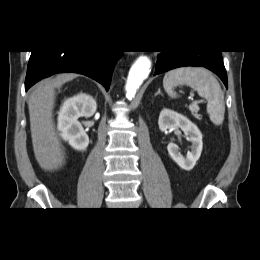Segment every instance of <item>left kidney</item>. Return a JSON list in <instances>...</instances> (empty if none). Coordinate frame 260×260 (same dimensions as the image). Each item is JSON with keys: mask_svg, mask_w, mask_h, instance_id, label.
<instances>
[{"mask_svg": "<svg viewBox=\"0 0 260 260\" xmlns=\"http://www.w3.org/2000/svg\"><path fill=\"white\" fill-rule=\"evenodd\" d=\"M159 129L167 131L176 127L181 128L186 138L192 143L191 151L187 153L186 158L181 155L179 148L174 143H169L167 146L170 157L184 170L190 171L195 166L201 156L203 143L202 134L198 127L192 123L187 117L172 111L163 109L160 112L158 120Z\"/></svg>", "mask_w": 260, "mask_h": 260, "instance_id": "obj_1", "label": "left kidney"}]
</instances>
